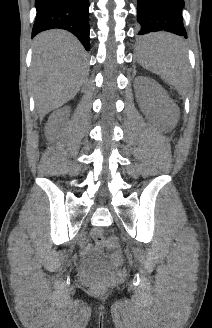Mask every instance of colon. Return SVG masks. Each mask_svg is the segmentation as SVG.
Segmentation results:
<instances>
[{"instance_id": "colon-1", "label": "colon", "mask_w": 212, "mask_h": 328, "mask_svg": "<svg viewBox=\"0 0 212 328\" xmlns=\"http://www.w3.org/2000/svg\"><path fill=\"white\" fill-rule=\"evenodd\" d=\"M96 239L98 242L105 244L107 247L113 250L112 259L116 264H121L123 262V254L120 249V244L115 236L104 238L100 234H97ZM96 288L102 289L103 286L101 284H97Z\"/></svg>"}]
</instances>
